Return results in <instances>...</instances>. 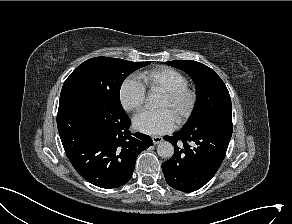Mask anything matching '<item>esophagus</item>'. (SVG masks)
I'll return each instance as SVG.
<instances>
[{
  "mask_svg": "<svg viewBox=\"0 0 292 224\" xmlns=\"http://www.w3.org/2000/svg\"><path fill=\"white\" fill-rule=\"evenodd\" d=\"M152 140H153V143L156 145V144H159L163 141V138L161 136H152Z\"/></svg>",
  "mask_w": 292,
  "mask_h": 224,
  "instance_id": "1",
  "label": "esophagus"
}]
</instances>
